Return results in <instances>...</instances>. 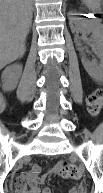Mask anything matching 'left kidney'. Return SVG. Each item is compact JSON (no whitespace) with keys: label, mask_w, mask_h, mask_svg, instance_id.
<instances>
[{"label":"left kidney","mask_w":103,"mask_h":193,"mask_svg":"<svg viewBox=\"0 0 103 193\" xmlns=\"http://www.w3.org/2000/svg\"><path fill=\"white\" fill-rule=\"evenodd\" d=\"M76 15H82L76 12H69V22L72 31L78 29V27L74 26L77 24L79 28H84L86 33H92V48L98 55L100 59V64L98 65L96 62H91L87 60L85 57H82L81 61L82 64L87 71V73L92 77L94 80H101L103 78V38H102V28L98 27V25L90 20H85L83 18L75 17Z\"/></svg>","instance_id":"left-kidney-1"}]
</instances>
